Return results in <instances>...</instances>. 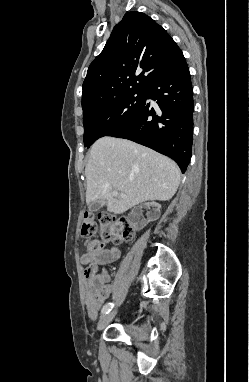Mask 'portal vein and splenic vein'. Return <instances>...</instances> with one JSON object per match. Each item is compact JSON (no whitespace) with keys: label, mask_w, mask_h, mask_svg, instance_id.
<instances>
[{"label":"portal vein and splenic vein","mask_w":249,"mask_h":382,"mask_svg":"<svg viewBox=\"0 0 249 382\" xmlns=\"http://www.w3.org/2000/svg\"><path fill=\"white\" fill-rule=\"evenodd\" d=\"M112 195H113V196H115V197H117L118 195H120V196L124 197V195H123V194H120V193H118V191H117V190H114V191L112 192Z\"/></svg>","instance_id":"portal-vein-and-splenic-vein-1"}]
</instances>
